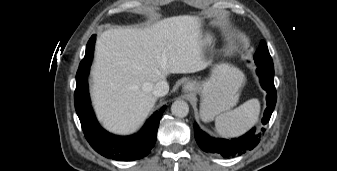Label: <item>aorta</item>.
<instances>
[{"instance_id": "762f6f07", "label": "aorta", "mask_w": 337, "mask_h": 171, "mask_svg": "<svg viewBox=\"0 0 337 171\" xmlns=\"http://www.w3.org/2000/svg\"><path fill=\"white\" fill-rule=\"evenodd\" d=\"M171 112L176 117H186L189 113V105L184 100H176L171 105Z\"/></svg>"}]
</instances>
